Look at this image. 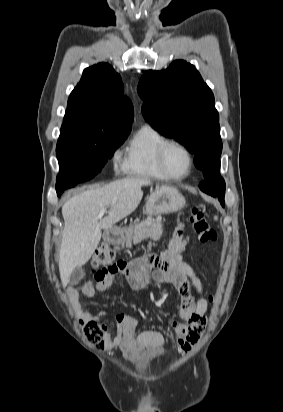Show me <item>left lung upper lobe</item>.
Segmentation results:
<instances>
[{
	"mask_svg": "<svg viewBox=\"0 0 283 412\" xmlns=\"http://www.w3.org/2000/svg\"><path fill=\"white\" fill-rule=\"evenodd\" d=\"M138 92L145 100L144 117L158 123L152 127L185 145L195 155V165L204 177H210L222 152L219 115L211 89L194 66L176 60L161 72L149 70L143 75ZM207 193L224 199V180L209 181Z\"/></svg>",
	"mask_w": 283,
	"mask_h": 412,
	"instance_id": "left-lung-upper-lobe-1",
	"label": "left lung upper lobe"
}]
</instances>
